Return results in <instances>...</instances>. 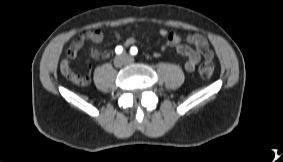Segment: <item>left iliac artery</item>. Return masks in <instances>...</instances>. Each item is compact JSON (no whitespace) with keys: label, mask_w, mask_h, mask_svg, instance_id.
I'll return each mask as SVG.
<instances>
[{"label":"left iliac artery","mask_w":283,"mask_h":162,"mask_svg":"<svg viewBox=\"0 0 283 162\" xmlns=\"http://www.w3.org/2000/svg\"><path fill=\"white\" fill-rule=\"evenodd\" d=\"M130 53H131L132 55H136V54L138 53V49H137L135 46H133V47H131V49H130Z\"/></svg>","instance_id":"obj_1"}]
</instances>
